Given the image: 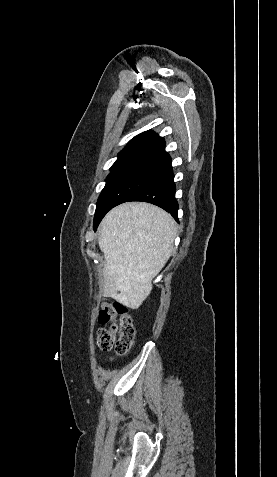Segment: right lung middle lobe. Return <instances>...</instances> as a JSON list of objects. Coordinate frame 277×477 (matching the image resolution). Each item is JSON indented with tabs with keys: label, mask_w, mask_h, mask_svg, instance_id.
I'll return each mask as SVG.
<instances>
[{
	"label": "right lung middle lobe",
	"mask_w": 277,
	"mask_h": 477,
	"mask_svg": "<svg viewBox=\"0 0 277 477\" xmlns=\"http://www.w3.org/2000/svg\"><path fill=\"white\" fill-rule=\"evenodd\" d=\"M160 170V168L143 166H128L111 170L106 178V185L97 200L94 230L110 209L129 201L147 186Z\"/></svg>",
	"instance_id": "obj_1"
}]
</instances>
